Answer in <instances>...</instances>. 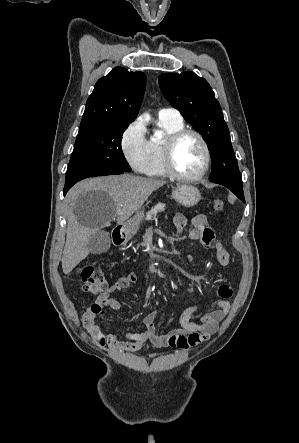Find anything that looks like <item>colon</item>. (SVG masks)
<instances>
[{"label": "colon", "instance_id": "colon-1", "mask_svg": "<svg viewBox=\"0 0 299 443\" xmlns=\"http://www.w3.org/2000/svg\"><path fill=\"white\" fill-rule=\"evenodd\" d=\"M224 207L225 203L223 200H214L213 208L216 212L223 211ZM81 279L82 289L91 294H97L107 286V281L103 270L92 265H86L82 269ZM91 311L94 313L95 316L101 315L103 313L102 308L97 304H93L91 306Z\"/></svg>", "mask_w": 299, "mask_h": 443}]
</instances>
